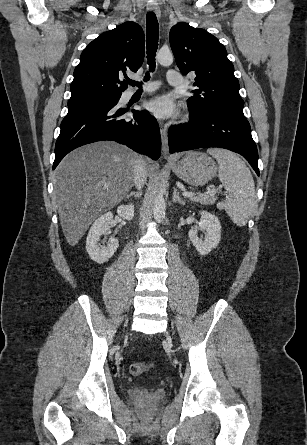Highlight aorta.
I'll list each match as a JSON object with an SVG mask.
<instances>
[{
	"label": "aorta",
	"instance_id": "1",
	"mask_svg": "<svg viewBox=\"0 0 307 445\" xmlns=\"http://www.w3.org/2000/svg\"><path fill=\"white\" fill-rule=\"evenodd\" d=\"M156 58L160 64H163V66H170L173 62V54L171 50H164V48H160L159 52H156ZM153 214L157 223H162L166 214V202L161 190L154 200Z\"/></svg>",
	"mask_w": 307,
	"mask_h": 445
}]
</instances>
